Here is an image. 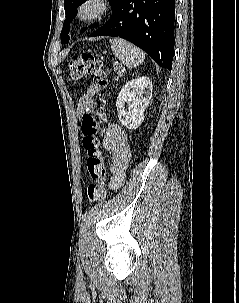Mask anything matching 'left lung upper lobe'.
Here are the masks:
<instances>
[{
	"label": "left lung upper lobe",
	"instance_id": "5c2ea615",
	"mask_svg": "<svg viewBox=\"0 0 239 303\" xmlns=\"http://www.w3.org/2000/svg\"><path fill=\"white\" fill-rule=\"evenodd\" d=\"M86 0H65L64 1V8L66 13V20L64 22V26L61 32L62 37V43H67L69 41V23L72 22V19L77 14V8L84 3ZM123 0H109L111 6H112V12L116 10V8L120 5V3ZM97 24H94L92 27L96 26ZM85 29L82 30L84 32Z\"/></svg>",
	"mask_w": 239,
	"mask_h": 303
}]
</instances>
